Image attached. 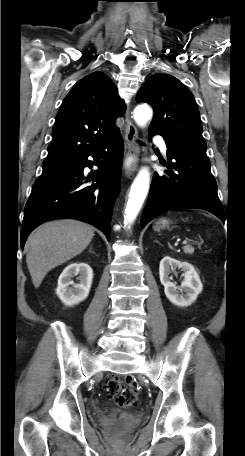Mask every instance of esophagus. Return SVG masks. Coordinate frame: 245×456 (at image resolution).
<instances>
[{"mask_svg": "<svg viewBox=\"0 0 245 456\" xmlns=\"http://www.w3.org/2000/svg\"><path fill=\"white\" fill-rule=\"evenodd\" d=\"M124 137L127 149L126 158L127 160L130 159L129 164H127L125 168V175L127 177H130L136 172L138 168V156L140 148L138 144L137 129L130 118L129 110L126 114V130Z\"/></svg>", "mask_w": 245, "mask_h": 456, "instance_id": "34e87169", "label": "esophagus"}]
</instances>
